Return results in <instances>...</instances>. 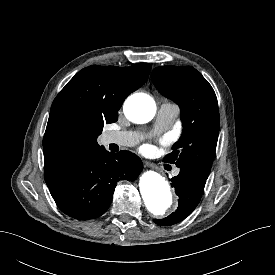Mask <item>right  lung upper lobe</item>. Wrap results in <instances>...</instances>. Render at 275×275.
Masks as SVG:
<instances>
[{
    "instance_id": "1",
    "label": "right lung upper lobe",
    "mask_w": 275,
    "mask_h": 275,
    "mask_svg": "<svg viewBox=\"0 0 275 275\" xmlns=\"http://www.w3.org/2000/svg\"><path fill=\"white\" fill-rule=\"evenodd\" d=\"M151 65L89 66L60 91L50 111L44 139V178L58 181L76 162L103 149L97 143L103 125L118 119L126 97L148 79Z\"/></svg>"
}]
</instances>
